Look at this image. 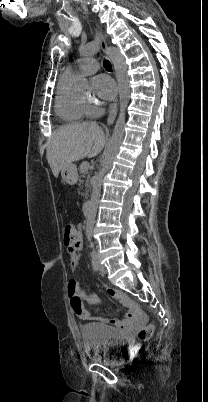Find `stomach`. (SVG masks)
Returning <instances> with one entry per match:
<instances>
[{"label": "stomach", "instance_id": "0dacf381", "mask_svg": "<svg viewBox=\"0 0 208 402\" xmlns=\"http://www.w3.org/2000/svg\"><path fill=\"white\" fill-rule=\"evenodd\" d=\"M61 176L65 184H69V186H74V184H77L78 174L75 164H68V166H63L61 170Z\"/></svg>", "mask_w": 208, "mask_h": 402}]
</instances>
